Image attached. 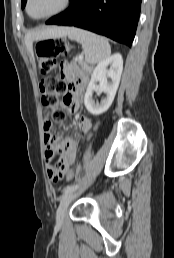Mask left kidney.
Masks as SVG:
<instances>
[{"label": "left kidney", "mask_w": 174, "mask_h": 258, "mask_svg": "<svg viewBox=\"0 0 174 258\" xmlns=\"http://www.w3.org/2000/svg\"><path fill=\"white\" fill-rule=\"evenodd\" d=\"M108 65H111L110 69H107ZM122 70L123 58L119 53L107 57L95 67L84 96V104L88 112L99 115L109 109L116 95ZM108 79H110L109 82ZM97 82H99V85L96 84ZM94 91L106 94L101 103H95L92 99Z\"/></svg>", "instance_id": "1"}]
</instances>
